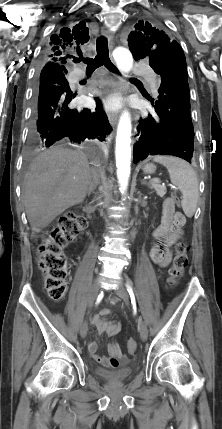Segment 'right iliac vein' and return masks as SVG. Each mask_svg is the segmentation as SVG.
Listing matches in <instances>:
<instances>
[{
    "label": "right iliac vein",
    "instance_id": "1",
    "mask_svg": "<svg viewBox=\"0 0 222 429\" xmlns=\"http://www.w3.org/2000/svg\"><path fill=\"white\" fill-rule=\"evenodd\" d=\"M100 285L98 281H95L90 289L89 297H88V307L91 308L94 301L96 300L98 293H99ZM88 331V324L87 322H83L80 328V335L82 338H85Z\"/></svg>",
    "mask_w": 222,
    "mask_h": 429
}]
</instances>
